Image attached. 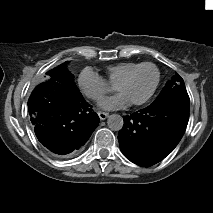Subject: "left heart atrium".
Segmentation results:
<instances>
[{
	"label": "left heart atrium",
	"instance_id": "obj_1",
	"mask_svg": "<svg viewBox=\"0 0 213 213\" xmlns=\"http://www.w3.org/2000/svg\"><path fill=\"white\" fill-rule=\"evenodd\" d=\"M129 104V101L126 99V97L121 94L117 93L105 100H103L100 103V107L107 111L117 110L121 109Z\"/></svg>",
	"mask_w": 213,
	"mask_h": 213
}]
</instances>
